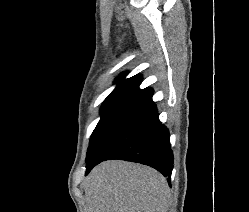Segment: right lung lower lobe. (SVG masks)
I'll list each match as a JSON object with an SVG mask.
<instances>
[{
    "label": "right lung lower lobe",
    "mask_w": 249,
    "mask_h": 212,
    "mask_svg": "<svg viewBox=\"0 0 249 212\" xmlns=\"http://www.w3.org/2000/svg\"><path fill=\"white\" fill-rule=\"evenodd\" d=\"M152 94L133 100L109 126L86 160V175L102 161L121 159L151 166L170 178L173 153L169 131L158 119Z\"/></svg>",
    "instance_id": "right-lung-lower-lobe-1"
}]
</instances>
